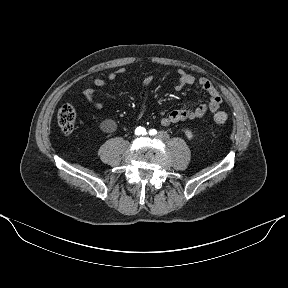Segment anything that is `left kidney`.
Here are the masks:
<instances>
[{"mask_svg": "<svg viewBox=\"0 0 288 288\" xmlns=\"http://www.w3.org/2000/svg\"><path fill=\"white\" fill-rule=\"evenodd\" d=\"M185 134H186V136H187L189 139H192V138H193V133H192L189 129H186V130H185Z\"/></svg>", "mask_w": 288, "mask_h": 288, "instance_id": "5707ae66", "label": "left kidney"}]
</instances>
